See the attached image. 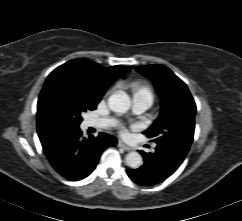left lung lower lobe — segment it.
<instances>
[{
	"instance_id": "obj_1",
	"label": "left lung lower lobe",
	"mask_w": 242,
	"mask_h": 221,
	"mask_svg": "<svg viewBox=\"0 0 242 221\" xmlns=\"http://www.w3.org/2000/svg\"><path fill=\"white\" fill-rule=\"evenodd\" d=\"M188 151L177 145L157 144L155 153L140 151L144 164L138 169H128V176L141 186L158 184L171 176L184 161Z\"/></svg>"
}]
</instances>
